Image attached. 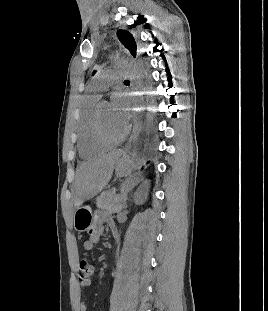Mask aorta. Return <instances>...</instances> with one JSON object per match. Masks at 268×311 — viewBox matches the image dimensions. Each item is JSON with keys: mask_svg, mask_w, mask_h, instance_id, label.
I'll return each instance as SVG.
<instances>
[{"mask_svg": "<svg viewBox=\"0 0 268 311\" xmlns=\"http://www.w3.org/2000/svg\"><path fill=\"white\" fill-rule=\"evenodd\" d=\"M117 65L125 68V74L129 79L130 83H133V100H132V122L131 127L133 128V132L130 138V144L132 150L137 145L139 132H140V124H141V99H142V88L140 87V73L135 65H129L128 60L121 58L117 60ZM133 155V151H131L130 156Z\"/></svg>", "mask_w": 268, "mask_h": 311, "instance_id": "obj_1", "label": "aorta"}]
</instances>
